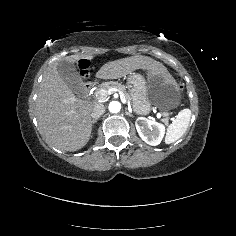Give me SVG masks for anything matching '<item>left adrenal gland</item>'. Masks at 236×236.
<instances>
[{"instance_id":"a2214340","label":"left adrenal gland","mask_w":236,"mask_h":236,"mask_svg":"<svg viewBox=\"0 0 236 236\" xmlns=\"http://www.w3.org/2000/svg\"><path fill=\"white\" fill-rule=\"evenodd\" d=\"M126 115L129 116V117H132L133 115L130 114L129 112H126Z\"/></svg>"}]
</instances>
